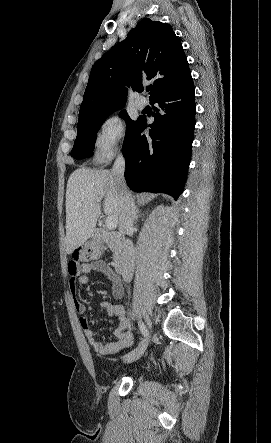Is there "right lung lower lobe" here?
<instances>
[{
    "instance_id": "1",
    "label": "right lung lower lobe",
    "mask_w": 271,
    "mask_h": 443,
    "mask_svg": "<svg viewBox=\"0 0 271 443\" xmlns=\"http://www.w3.org/2000/svg\"><path fill=\"white\" fill-rule=\"evenodd\" d=\"M149 138L141 135L147 126L138 118L127 131L123 145L125 179L136 192H163L175 200L183 191L195 128V96L192 78L182 85L159 92Z\"/></svg>"
}]
</instances>
